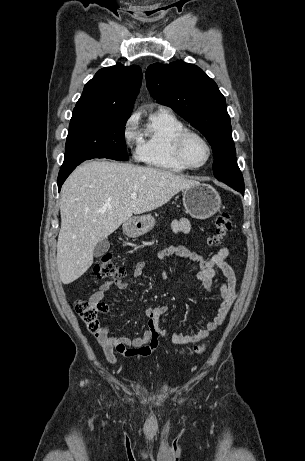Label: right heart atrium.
<instances>
[{
	"instance_id": "1",
	"label": "right heart atrium",
	"mask_w": 305,
	"mask_h": 461,
	"mask_svg": "<svg viewBox=\"0 0 305 461\" xmlns=\"http://www.w3.org/2000/svg\"><path fill=\"white\" fill-rule=\"evenodd\" d=\"M135 125H136V118L131 117L127 121L125 129H124V136H125L126 140L132 141V140H135L137 138V134L135 132Z\"/></svg>"
}]
</instances>
